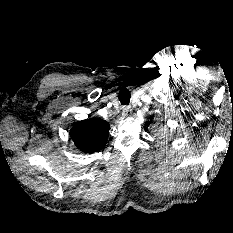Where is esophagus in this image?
Masks as SVG:
<instances>
[{
  "label": "esophagus",
  "instance_id": "34e87169",
  "mask_svg": "<svg viewBox=\"0 0 233 233\" xmlns=\"http://www.w3.org/2000/svg\"><path fill=\"white\" fill-rule=\"evenodd\" d=\"M122 114L123 116H130L132 114V110L129 106L122 107Z\"/></svg>",
  "mask_w": 233,
  "mask_h": 233
}]
</instances>
